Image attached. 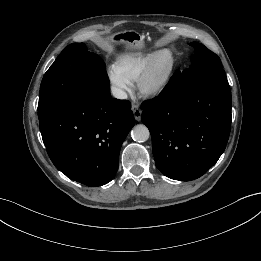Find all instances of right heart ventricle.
<instances>
[{
    "label": "right heart ventricle",
    "instance_id": "1",
    "mask_svg": "<svg viewBox=\"0 0 261 261\" xmlns=\"http://www.w3.org/2000/svg\"><path fill=\"white\" fill-rule=\"evenodd\" d=\"M155 52L156 51L146 54L131 53L121 55L116 59L114 67L127 81L130 83L135 82L143 73Z\"/></svg>",
    "mask_w": 261,
    "mask_h": 261
}]
</instances>
